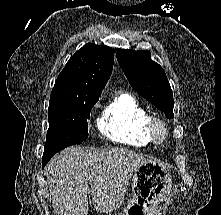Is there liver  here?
<instances>
[{"instance_id":"liver-1","label":"liver","mask_w":221,"mask_h":215,"mask_svg":"<svg viewBox=\"0 0 221 215\" xmlns=\"http://www.w3.org/2000/svg\"><path fill=\"white\" fill-rule=\"evenodd\" d=\"M150 160L123 148L69 147L46 167L50 195L58 215L88 214V185L97 212L108 213L124 201L134 171Z\"/></svg>"}]
</instances>
